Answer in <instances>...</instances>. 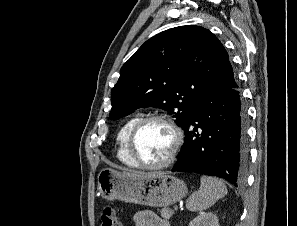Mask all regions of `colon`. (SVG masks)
Masks as SVG:
<instances>
[{
	"instance_id": "colon-1",
	"label": "colon",
	"mask_w": 297,
	"mask_h": 226,
	"mask_svg": "<svg viewBox=\"0 0 297 226\" xmlns=\"http://www.w3.org/2000/svg\"><path fill=\"white\" fill-rule=\"evenodd\" d=\"M100 221L101 226H121L119 218L110 206L103 208L100 213Z\"/></svg>"
}]
</instances>
